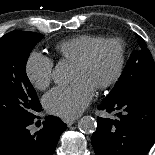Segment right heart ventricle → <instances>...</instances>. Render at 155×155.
<instances>
[{"label": "right heart ventricle", "mask_w": 155, "mask_h": 155, "mask_svg": "<svg viewBox=\"0 0 155 155\" xmlns=\"http://www.w3.org/2000/svg\"><path fill=\"white\" fill-rule=\"evenodd\" d=\"M102 39L92 34H81L58 43L55 50L63 60L75 63L91 46Z\"/></svg>", "instance_id": "1"}]
</instances>
